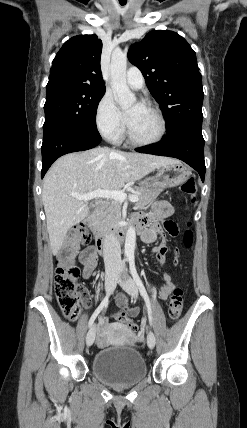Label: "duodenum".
I'll use <instances>...</instances> for the list:
<instances>
[{"label":"duodenum","mask_w":247,"mask_h":428,"mask_svg":"<svg viewBox=\"0 0 247 428\" xmlns=\"http://www.w3.org/2000/svg\"><path fill=\"white\" fill-rule=\"evenodd\" d=\"M102 205H103L102 201L96 202L95 212L92 215H90L86 220L89 225L91 226L95 225L96 213L102 207ZM144 228H145L144 221L138 217L132 219L129 222H120L115 227L113 233L110 235L104 234V233H97L96 248L100 253H102L110 246L111 243L113 242L120 243L123 240L124 235L128 229H133L137 233L141 234Z\"/></svg>","instance_id":"duodenum-1"}]
</instances>
